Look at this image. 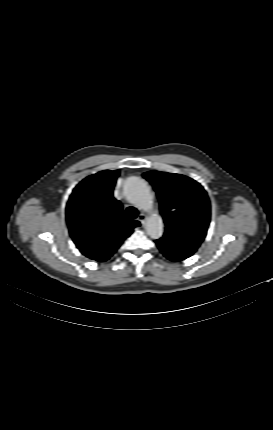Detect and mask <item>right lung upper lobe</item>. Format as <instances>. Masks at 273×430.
I'll use <instances>...</instances> for the list:
<instances>
[{
    "mask_svg": "<svg viewBox=\"0 0 273 430\" xmlns=\"http://www.w3.org/2000/svg\"><path fill=\"white\" fill-rule=\"evenodd\" d=\"M119 170H104L82 180L66 206L70 235L86 257L104 262L140 223L126 221L120 201L113 197Z\"/></svg>",
    "mask_w": 273,
    "mask_h": 430,
    "instance_id": "1",
    "label": "right lung upper lobe"
}]
</instances>
